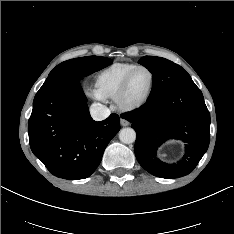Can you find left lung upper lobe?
I'll list each match as a JSON object with an SVG mask.
<instances>
[{"instance_id":"obj_1","label":"left lung upper lobe","mask_w":234,"mask_h":234,"mask_svg":"<svg viewBox=\"0 0 234 234\" xmlns=\"http://www.w3.org/2000/svg\"><path fill=\"white\" fill-rule=\"evenodd\" d=\"M138 62L153 75V86L149 98L181 81L191 78L181 66L165 58L144 56Z\"/></svg>"}]
</instances>
